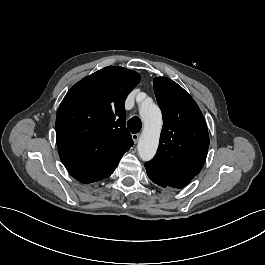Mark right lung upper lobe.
<instances>
[{
  "label": "right lung upper lobe",
  "instance_id": "obj_1",
  "mask_svg": "<svg viewBox=\"0 0 265 265\" xmlns=\"http://www.w3.org/2000/svg\"><path fill=\"white\" fill-rule=\"evenodd\" d=\"M140 81L133 70L108 66L77 82L56 116V140L63 164H117L133 145L124 103Z\"/></svg>",
  "mask_w": 265,
  "mask_h": 265
}]
</instances>
